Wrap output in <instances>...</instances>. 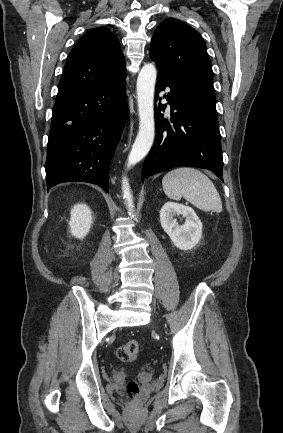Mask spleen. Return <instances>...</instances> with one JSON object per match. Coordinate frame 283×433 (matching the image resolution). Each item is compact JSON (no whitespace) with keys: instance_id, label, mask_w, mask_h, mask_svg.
Masks as SVG:
<instances>
[{"instance_id":"1","label":"spleen","mask_w":283,"mask_h":433,"mask_svg":"<svg viewBox=\"0 0 283 433\" xmlns=\"http://www.w3.org/2000/svg\"><path fill=\"white\" fill-rule=\"evenodd\" d=\"M163 190L168 198L180 200L182 196L200 210L221 212V198L210 178L196 168H175L162 180Z\"/></svg>"}]
</instances>
